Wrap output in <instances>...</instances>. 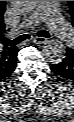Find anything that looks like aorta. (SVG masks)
I'll return each instance as SVG.
<instances>
[{
	"mask_svg": "<svg viewBox=\"0 0 74 122\" xmlns=\"http://www.w3.org/2000/svg\"><path fill=\"white\" fill-rule=\"evenodd\" d=\"M12 6L20 13H30L39 4V1H11ZM43 56L50 63H59L66 53L64 44L59 40L49 41L42 49Z\"/></svg>",
	"mask_w": 74,
	"mask_h": 122,
	"instance_id": "aorta-1",
	"label": "aorta"
}]
</instances>
